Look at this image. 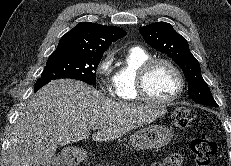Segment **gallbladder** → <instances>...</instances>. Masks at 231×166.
I'll return each mask as SVG.
<instances>
[{
  "label": "gallbladder",
  "mask_w": 231,
  "mask_h": 166,
  "mask_svg": "<svg viewBox=\"0 0 231 166\" xmlns=\"http://www.w3.org/2000/svg\"><path fill=\"white\" fill-rule=\"evenodd\" d=\"M48 166H62V159L59 156H54Z\"/></svg>",
  "instance_id": "gallbladder-1"
}]
</instances>
